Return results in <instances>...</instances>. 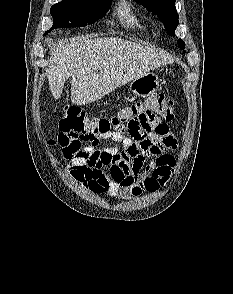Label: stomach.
Returning a JSON list of instances; mask_svg holds the SVG:
<instances>
[{"label":"stomach","instance_id":"1","mask_svg":"<svg viewBox=\"0 0 233 294\" xmlns=\"http://www.w3.org/2000/svg\"><path fill=\"white\" fill-rule=\"evenodd\" d=\"M129 87L134 96L147 97L159 90L160 81L156 74L149 72L132 80Z\"/></svg>","mask_w":233,"mask_h":294}]
</instances>
